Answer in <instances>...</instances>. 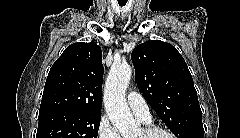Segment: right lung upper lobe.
<instances>
[{"instance_id": "right-lung-upper-lobe-1", "label": "right lung upper lobe", "mask_w": 240, "mask_h": 138, "mask_svg": "<svg viewBox=\"0 0 240 138\" xmlns=\"http://www.w3.org/2000/svg\"><path fill=\"white\" fill-rule=\"evenodd\" d=\"M102 51L96 43L68 46L52 65L39 115L55 111L101 113Z\"/></svg>"}]
</instances>
